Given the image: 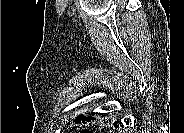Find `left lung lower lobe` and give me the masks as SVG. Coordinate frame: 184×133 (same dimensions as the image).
Masks as SVG:
<instances>
[{
	"mask_svg": "<svg viewBox=\"0 0 184 133\" xmlns=\"http://www.w3.org/2000/svg\"><path fill=\"white\" fill-rule=\"evenodd\" d=\"M95 117L88 115V116H83V115H79L77 116L74 121L76 123H81V122H90L91 120H94Z\"/></svg>",
	"mask_w": 184,
	"mask_h": 133,
	"instance_id": "1",
	"label": "left lung lower lobe"
}]
</instances>
